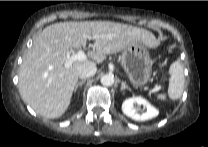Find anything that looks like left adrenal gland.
Here are the masks:
<instances>
[{
	"label": "left adrenal gland",
	"mask_w": 208,
	"mask_h": 147,
	"mask_svg": "<svg viewBox=\"0 0 208 147\" xmlns=\"http://www.w3.org/2000/svg\"><path fill=\"white\" fill-rule=\"evenodd\" d=\"M126 89L129 90V91H131V88L128 87L124 81H122L121 82V91H124Z\"/></svg>",
	"instance_id": "a2214340"
}]
</instances>
